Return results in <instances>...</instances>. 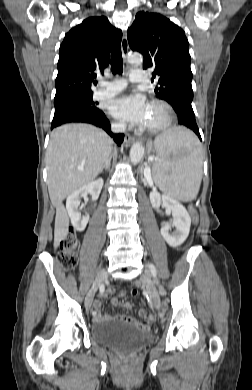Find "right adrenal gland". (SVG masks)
I'll list each match as a JSON object with an SVG mask.
<instances>
[{
	"mask_svg": "<svg viewBox=\"0 0 252 390\" xmlns=\"http://www.w3.org/2000/svg\"><path fill=\"white\" fill-rule=\"evenodd\" d=\"M111 159H112V157L110 156V158L108 159V161L104 164V166H103L102 169L100 170V173H102L103 170H109V169H110Z\"/></svg>",
	"mask_w": 252,
	"mask_h": 390,
	"instance_id": "2a0ac1e0",
	"label": "right adrenal gland"
}]
</instances>
